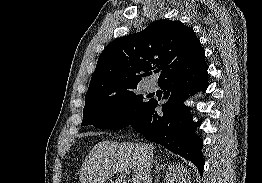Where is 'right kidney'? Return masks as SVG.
<instances>
[{"label":"right kidney","mask_w":262,"mask_h":183,"mask_svg":"<svg viewBox=\"0 0 262 183\" xmlns=\"http://www.w3.org/2000/svg\"><path fill=\"white\" fill-rule=\"evenodd\" d=\"M166 183H191L190 173L183 165L171 166L165 176Z\"/></svg>","instance_id":"ca27d5eb"}]
</instances>
